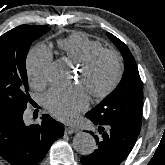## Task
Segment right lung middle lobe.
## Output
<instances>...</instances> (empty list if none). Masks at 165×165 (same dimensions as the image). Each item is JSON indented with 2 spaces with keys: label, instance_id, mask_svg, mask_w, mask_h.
<instances>
[{
  "label": "right lung middle lobe",
  "instance_id": "1",
  "mask_svg": "<svg viewBox=\"0 0 165 165\" xmlns=\"http://www.w3.org/2000/svg\"><path fill=\"white\" fill-rule=\"evenodd\" d=\"M47 26H18L0 37V113L24 111L28 94L26 56L31 43Z\"/></svg>",
  "mask_w": 165,
  "mask_h": 165
}]
</instances>
